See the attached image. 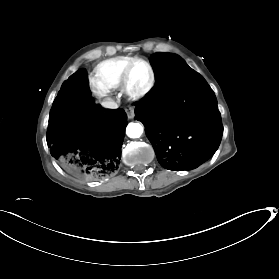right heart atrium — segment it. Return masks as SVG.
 <instances>
[{"mask_svg": "<svg viewBox=\"0 0 279 279\" xmlns=\"http://www.w3.org/2000/svg\"><path fill=\"white\" fill-rule=\"evenodd\" d=\"M95 92L98 94V95H102L104 93V91L98 87L95 86Z\"/></svg>", "mask_w": 279, "mask_h": 279, "instance_id": "d8ad5b80", "label": "right heart atrium"}]
</instances>
